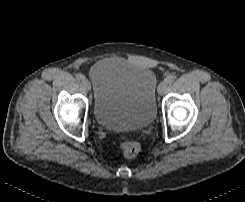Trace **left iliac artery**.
Here are the masks:
<instances>
[{
  "mask_svg": "<svg viewBox=\"0 0 245 202\" xmlns=\"http://www.w3.org/2000/svg\"><path fill=\"white\" fill-rule=\"evenodd\" d=\"M174 76H172V75H169V76H167L166 78H165V82L167 83V84H171V83H173L174 82Z\"/></svg>",
  "mask_w": 245,
  "mask_h": 202,
  "instance_id": "44dca946",
  "label": "left iliac artery"
}]
</instances>
